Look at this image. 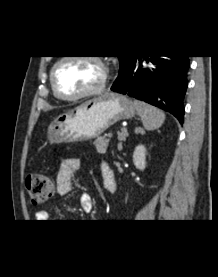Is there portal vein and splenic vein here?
<instances>
[{"label":"portal vein and splenic vein","mask_w":218,"mask_h":277,"mask_svg":"<svg viewBox=\"0 0 218 277\" xmlns=\"http://www.w3.org/2000/svg\"><path fill=\"white\" fill-rule=\"evenodd\" d=\"M124 134H127V131H125ZM112 136H113V134L110 132V133H108L107 138L110 139V138H112Z\"/></svg>","instance_id":"portal-vein-and-splenic-vein-1"}]
</instances>
